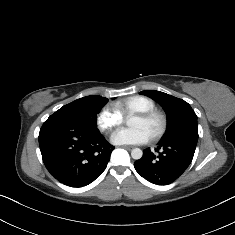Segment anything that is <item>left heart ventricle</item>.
I'll use <instances>...</instances> for the list:
<instances>
[{
    "instance_id": "1",
    "label": "left heart ventricle",
    "mask_w": 235,
    "mask_h": 235,
    "mask_svg": "<svg viewBox=\"0 0 235 235\" xmlns=\"http://www.w3.org/2000/svg\"><path fill=\"white\" fill-rule=\"evenodd\" d=\"M131 128H142L149 136L155 133L160 128V121L158 119H153L150 122L143 121L137 116L130 123Z\"/></svg>"
}]
</instances>
